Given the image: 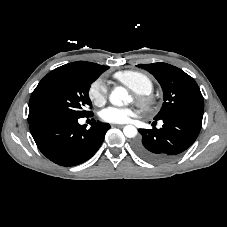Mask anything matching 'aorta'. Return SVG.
Returning a JSON list of instances; mask_svg holds the SVG:
<instances>
[{
  "instance_id": "1",
  "label": "aorta",
  "mask_w": 227,
  "mask_h": 227,
  "mask_svg": "<svg viewBox=\"0 0 227 227\" xmlns=\"http://www.w3.org/2000/svg\"><path fill=\"white\" fill-rule=\"evenodd\" d=\"M130 100L131 97L129 96L127 90L121 86L115 87L109 96L111 104L116 106L127 104ZM123 133L126 137L133 138L137 135V129L133 125H126L123 129Z\"/></svg>"
}]
</instances>
